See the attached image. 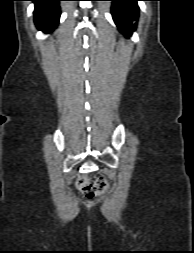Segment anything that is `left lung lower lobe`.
Listing matches in <instances>:
<instances>
[{"instance_id":"left-lung-lower-lobe-1","label":"left lung lower lobe","mask_w":194,"mask_h":253,"mask_svg":"<svg viewBox=\"0 0 194 253\" xmlns=\"http://www.w3.org/2000/svg\"><path fill=\"white\" fill-rule=\"evenodd\" d=\"M112 1V16L113 19L125 35H131L136 28V24H132L138 19V1L144 0H108Z\"/></svg>"}]
</instances>
